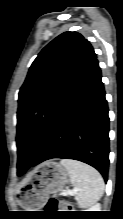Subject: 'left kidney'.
Returning <instances> with one entry per match:
<instances>
[{"instance_id":"obj_1","label":"left kidney","mask_w":123,"mask_h":219,"mask_svg":"<svg viewBox=\"0 0 123 219\" xmlns=\"http://www.w3.org/2000/svg\"><path fill=\"white\" fill-rule=\"evenodd\" d=\"M100 208V204H97L94 207H92V209H89V211H100Z\"/></svg>"}]
</instances>
